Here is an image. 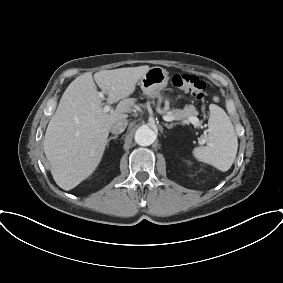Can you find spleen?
<instances>
[{
  "label": "spleen",
  "instance_id": "1",
  "mask_svg": "<svg viewBox=\"0 0 283 283\" xmlns=\"http://www.w3.org/2000/svg\"><path fill=\"white\" fill-rule=\"evenodd\" d=\"M208 144L193 149V156L200 162L226 172L232 166L238 149V140L233 124L226 112L219 106H209Z\"/></svg>",
  "mask_w": 283,
  "mask_h": 283
}]
</instances>
